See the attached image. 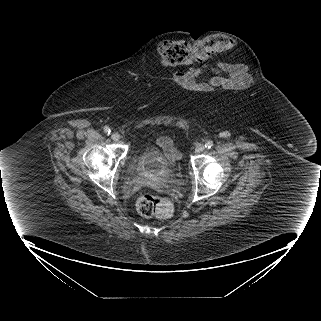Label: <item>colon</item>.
Here are the masks:
<instances>
[{
  "label": "colon",
  "instance_id": "1",
  "mask_svg": "<svg viewBox=\"0 0 321 321\" xmlns=\"http://www.w3.org/2000/svg\"><path fill=\"white\" fill-rule=\"evenodd\" d=\"M232 46V40L227 36L217 35L196 43L185 41H165L158 47V53L165 66L175 67L202 62L213 54L226 51ZM138 213L146 218H169L174 211L171 201L152 194L141 195L136 202Z\"/></svg>",
  "mask_w": 321,
  "mask_h": 321
}]
</instances>
